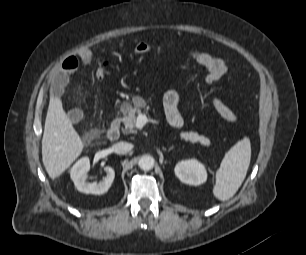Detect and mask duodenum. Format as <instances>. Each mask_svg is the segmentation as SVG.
Listing matches in <instances>:
<instances>
[{
    "label": "duodenum",
    "instance_id": "1",
    "mask_svg": "<svg viewBox=\"0 0 306 255\" xmlns=\"http://www.w3.org/2000/svg\"><path fill=\"white\" fill-rule=\"evenodd\" d=\"M107 137L111 141H116L120 137V120L119 118L113 119L110 124V127L107 131Z\"/></svg>",
    "mask_w": 306,
    "mask_h": 255
}]
</instances>
